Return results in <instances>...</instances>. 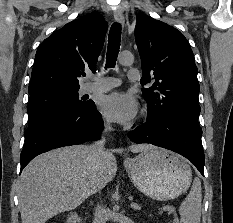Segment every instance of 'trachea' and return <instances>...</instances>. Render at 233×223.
Wrapping results in <instances>:
<instances>
[{"label":"trachea","mask_w":233,"mask_h":223,"mask_svg":"<svg viewBox=\"0 0 233 223\" xmlns=\"http://www.w3.org/2000/svg\"><path fill=\"white\" fill-rule=\"evenodd\" d=\"M121 41V25L113 23L108 36V46L106 53V68H114L118 57Z\"/></svg>","instance_id":"1"}]
</instances>
